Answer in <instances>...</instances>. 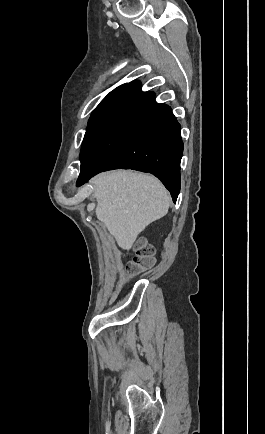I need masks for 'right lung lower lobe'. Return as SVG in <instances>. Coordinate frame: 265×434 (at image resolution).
Wrapping results in <instances>:
<instances>
[{"label": "right lung lower lobe", "instance_id": "right-lung-lower-lobe-1", "mask_svg": "<svg viewBox=\"0 0 265 434\" xmlns=\"http://www.w3.org/2000/svg\"><path fill=\"white\" fill-rule=\"evenodd\" d=\"M153 95L141 91L138 81L125 87L81 161L78 186L102 171L134 169L159 178L176 202L183 153L181 127L171 108L156 103Z\"/></svg>", "mask_w": 265, "mask_h": 434}]
</instances>
